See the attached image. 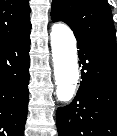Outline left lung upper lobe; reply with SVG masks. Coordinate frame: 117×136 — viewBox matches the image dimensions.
<instances>
[{"instance_id": "left-lung-upper-lobe-1", "label": "left lung upper lobe", "mask_w": 117, "mask_h": 136, "mask_svg": "<svg viewBox=\"0 0 117 136\" xmlns=\"http://www.w3.org/2000/svg\"><path fill=\"white\" fill-rule=\"evenodd\" d=\"M53 21L65 22L76 36L115 44V27L107 0H52Z\"/></svg>"}]
</instances>
